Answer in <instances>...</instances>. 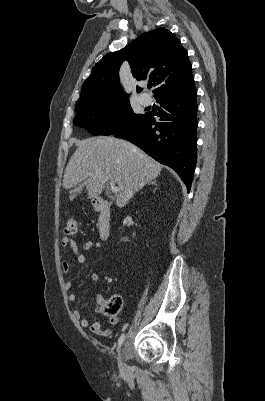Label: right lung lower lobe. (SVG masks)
<instances>
[{"instance_id": "98d812e1", "label": "right lung lower lobe", "mask_w": 265, "mask_h": 401, "mask_svg": "<svg viewBox=\"0 0 265 401\" xmlns=\"http://www.w3.org/2000/svg\"><path fill=\"white\" fill-rule=\"evenodd\" d=\"M159 113L148 112L135 124L114 134L140 147L158 162L171 167L190 191L197 159V103L194 82L179 91L155 97ZM159 119L156 121V117Z\"/></svg>"}]
</instances>
